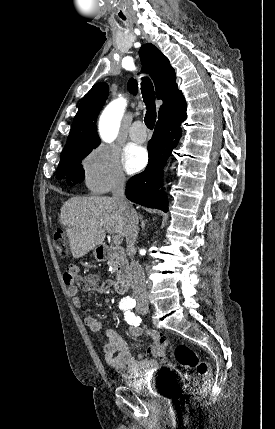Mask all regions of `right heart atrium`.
<instances>
[{
	"mask_svg": "<svg viewBox=\"0 0 275 429\" xmlns=\"http://www.w3.org/2000/svg\"><path fill=\"white\" fill-rule=\"evenodd\" d=\"M86 187L95 193H105L125 182L119 155L106 145L90 150L81 163Z\"/></svg>",
	"mask_w": 275,
	"mask_h": 429,
	"instance_id": "obj_1",
	"label": "right heart atrium"
}]
</instances>
